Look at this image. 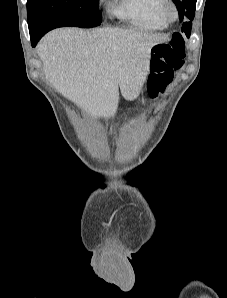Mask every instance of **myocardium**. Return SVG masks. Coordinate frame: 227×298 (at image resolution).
Wrapping results in <instances>:
<instances>
[{
	"mask_svg": "<svg viewBox=\"0 0 227 298\" xmlns=\"http://www.w3.org/2000/svg\"><path fill=\"white\" fill-rule=\"evenodd\" d=\"M159 14L167 22H174L179 17V9L173 0H161L159 5Z\"/></svg>",
	"mask_w": 227,
	"mask_h": 298,
	"instance_id": "obj_1",
	"label": "myocardium"
}]
</instances>
